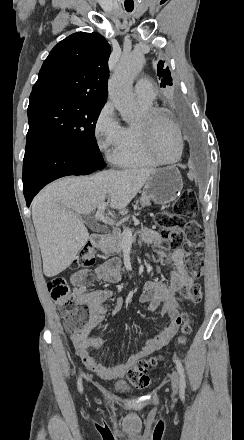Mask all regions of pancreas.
<instances>
[{"instance_id":"obj_1","label":"pancreas","mask_w":244,"mask_h":440,"mask_svg":"<svg viewBox=\"0 0 244 440\" xmlns=\"http://www.w3.org/2000/svg\"><path fill=\"white\" fill-rule=\"evenodd\" d=\"M124 238V234L122 232H112V234H108L106 236L104 242H102L101 246H99L101 252L103 254H121L122 252V240Z\"/></svg>"}]
</instances>
